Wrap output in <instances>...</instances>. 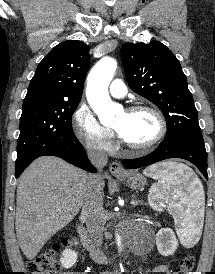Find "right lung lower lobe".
Returning a JSON list of instances; mask_svg holds the SVG:
<instances>
[{
    "mask_svg": "<svg viewBox=\"0 0 215 274\" xmlns=\"http://www.w3.org/2000/svg\"><path fill=\"white\" fill-rule=\"evenodd\" d=\"M56 156L64 159L65 161L82 168L89 172H95L94 166L88 160L85 150L81 143L76 140L74 142H67L60 145H56L51 148L44 149L36 154L34 157L26 161L25 163L16 166L15 174L16 178H18L21 173L25 170V168L36 158L40 156Z\"/></svg>",
    "mask_w": 215,
    "mask_h": 274,
    "instance_id": "right-lung-lower-lobe-1",
    "label": "right lung lower lobe"
}]
</instances>
